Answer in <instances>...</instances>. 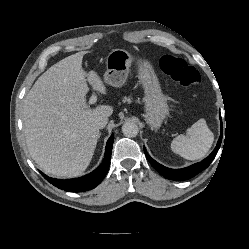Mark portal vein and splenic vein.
Wrapping results in <instances>:
<instances>
[{"label": "portal vein and splenic vein", "mask_w": 249, "mask_h": 249, "mask_svg": "<svg viewBox=\"0 0 249 249\" xmlns=\"http://www.w3.org/2000/svg\"><path fill=\"white\" fill-rule=\"evenodd\" d=\"M97 100V97L95 95H92L89 99V104H94Z\"/></svg>", "instance_id": "obj_1"}]
</instances>
